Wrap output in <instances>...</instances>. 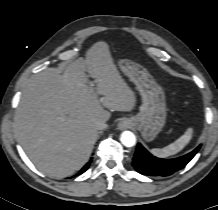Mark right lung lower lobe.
<instances>
[{
  "instance_id": "1",
  "label": "right lung lower lobe",
  "mask_w": 218,
  "mask_h": 210,
  "mask_svg": "<svg viewBox=\"0 0 218 210\" xmlns=\"http://www.w3.org/2000/svg\"><path fill=\"white\" fill-rule=\"evenodd\" d=\"M90 163H91V160L79 171L78 174L80 175V174L84 173L88 169V167L90 166Z\"/></svg>"
}]
</instances>
